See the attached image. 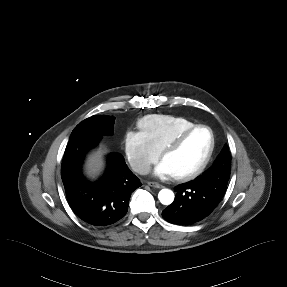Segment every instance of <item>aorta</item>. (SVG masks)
Masks as SVG:
<instances>
[{
    "label": "aorta",
    "mask_w": 287,
    "mask_h": 287,
    "mask_svg": "<svg viewBox=\"0 0 287 287\" xmlns=\"http://www.w3.org/2000/svg\"><path fill=\"white\" fill-rule=\"evenodd\" d=\"M158 199L163 205H170L174 201V193L170 189H162L158 193Z\"/></svg>",
    "instance_id": "1"
}]
</instances>
